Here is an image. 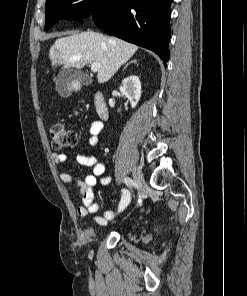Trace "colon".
Masks as SVG:
<instances>
[{"instance_id":"1","label":"colon","mask_w":247,"mask_h":296,"mask_svg":"<svg viewBox=\"0 0 247 296\" xmlns=\"http://www.w3.org/2000/svg\"><path fill=\"white\" fill-rule=\"evenodd\" d=\"M51 145L55 151H62L73 147L78 141L76 130L62 122L52 124L50 128Z\"/></svg>"}]
</instances>
